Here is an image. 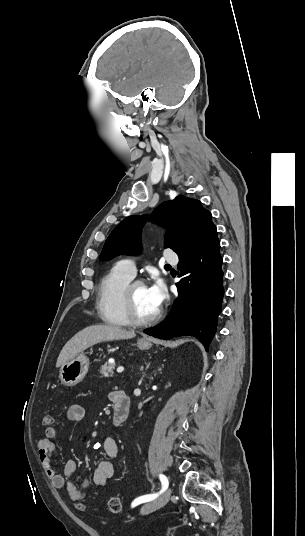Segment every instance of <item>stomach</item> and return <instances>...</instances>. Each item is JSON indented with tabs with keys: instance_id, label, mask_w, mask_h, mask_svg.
<instances>
[{
	"instance_id": "stomach-1",
	"label": "stomach",
	"mask_w": 305,
	"mask_h": 536,
	"mask_svg": "<svg viewBox=\"0 0 305 536\" xmlns=\"http://www.w3.org/2000/svg\"><path fill=\"white\" fill-rule=\"evenodd\" d=\"M137 346L139 350H149L152 344L149 338L138 340ZM89 370V358L85 354H77L73 360H69L67 364H63L59 370V378L64 386H76L82 382Z\"/></svg>"
}]
</instances>
